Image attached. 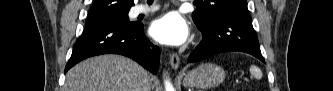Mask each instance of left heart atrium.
<instances>
[{
    "label": "left heart atrium",
    "mask_w": 333,
    "mask_h": 91,
    "mask_svg": "<svg viewBox=\"0 0 333 91\" xmlns=\"http://www.w3.org/2000/svg\"><path fill=\"white\" fill-rule=\"evenodd\" d=\"M150 34L160 44L179 46L189 37V25L180 14L170 12L152 22Z\"/></svg>",
    "instance_id": "39dd6f15"
}]
</instances>
